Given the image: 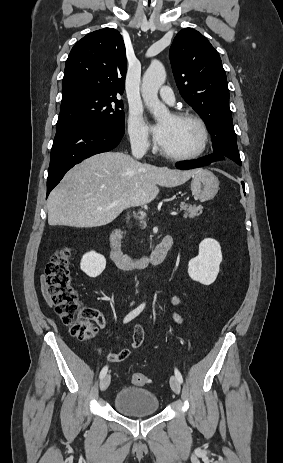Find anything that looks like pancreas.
<instances>
[{"label":"pancreas","instance_id":"cf45deb5","mask_svg":"<svg viewBox=\"0 0 283 463\" xmlns=\"http://www.w3.org/2000/svg\"><path fill=\"white\" fill-rule=\"evenodd\" d=\"M180 209L184 212V218H194L202 214L203 211V207L201 205H191L184 202L180 204ZM140 224L145 226V222L143 220H140Z\"/></svg>","mask_w":283,"mask_h":463}]
</instances>
